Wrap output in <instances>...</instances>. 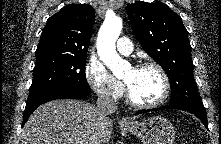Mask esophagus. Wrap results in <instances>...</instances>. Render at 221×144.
Segmentation results:
<instances>
[{
	"mask_svg": "<svg viewBox=\"0 0 221 144\" xmlns=\"http://www.w3.org/2000/svg\"><path fill=\"white\" fill-rule=\"evenodd\" d=\"M121 123H123V124H130L131 120L128 117H123L122 120H121Z\"/></svg>",
	"mask_w": 221,
	"mask_h": 144,
	"instance_id": "34e87169",
	"label": "esophagus"
}]
</instances>
